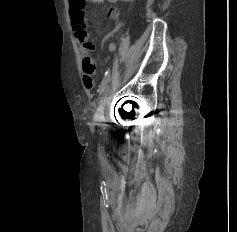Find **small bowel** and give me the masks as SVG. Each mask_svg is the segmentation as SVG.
<instances>
[{
  "label": "small bowel",
  "mask_w": 237,
  "mask_h": 232,
  "mask_svg": "<svg viewBox=\"0 0 237 232\" xmlns=\"http://www.w3.org/2000/svg\"><path fill=\"white\" fill-rule=\"evenodd\" d=\"M90 1L93 3H101L104 0ZM115 15L112 17H115ZM77 39L80 43V48L82 52L83 84L87 89H92L95 85V61L92 56V53L94 51V45L87 40V37L81 38L79 35H77Z\"/></svg>",
  "instance_id": "c3829d8e"
}]
</instances>
